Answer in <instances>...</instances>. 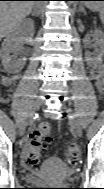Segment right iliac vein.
<instances>
[{"label":"right iliac vein","instance_id":"63e3f726","mask_svg":"<svg viewBox=\"0 0 104 189\" xmlns=\"http://www.w3.org/2000/svg\"><path fill=\"white\" fill-rule=\"evenodd\" d=\"M42 105V100L41 99H36L33 103V106H32V112L31 114L35 113ZM30 114V117H29V120L24 122L20 128H19V135L22 136L24 133H25V130H26V126L32 122V116Z\"/></svg>","mask_w":104,"mask_h":189}]
</instances>
